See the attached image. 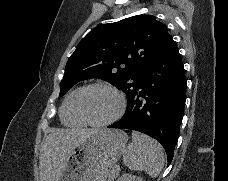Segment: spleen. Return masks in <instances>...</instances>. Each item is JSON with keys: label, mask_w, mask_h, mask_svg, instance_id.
<instances>
[{"label": "spleen", "mask_w": 228, "mask_h": 181, "mask_svg": "<svg viewBox=\"0 0 228 181\" xmlns=\"http://www.w3.org/2000/svg\"><path fill=\"white\" fill-rule=\"evenodd\" d=\"M123 163L131 171H145L155 179L164 167V149L155 139L133 131L132 143L123 153Z\"/></svg>", "instance_id": "spleen-1"}]
</instances>
